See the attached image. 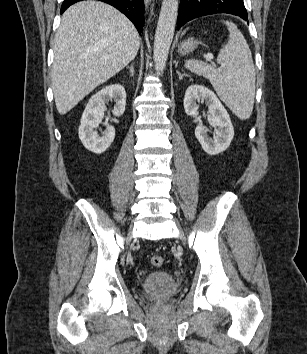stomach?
<instances>
[{"instance_id":"stomach-1","label":"stomach","mask_w":307,"mask_h":354,"mask_svg":"<svg viewBox=\"0 0 307 354\" xmlns=\"http://www.w3.org/2000/svg\"><path fill=\"white\" fill-rule=\"evenodd\" d=\"M198 45H199V41L198 40H195L193 38H189L186 41H183L179 45L178 51L181 54H186L188 52H191V51L195 50Z\"/></svg>"}]
</instances>
